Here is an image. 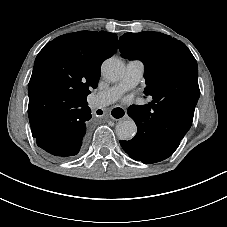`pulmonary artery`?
Here are the masks:
<instances>
[{"mask_svg":"<svg viewBox=\"0 0 227 227\" xmlns=\"http://www.w3.org/2000/svg\"><path fill=\"white\" fill-rule=\"evenodd\" d=\"M144 74V64L139 60L128 61L123 78L114 86L98 92L90 99L91 109H100L118 101L125 92L135 87Z\"/></svg>","mask_w":227,"mask_h":227,"instance_id":"e3ab8cb5","label":"pulmonary artery"}]
</instances>
